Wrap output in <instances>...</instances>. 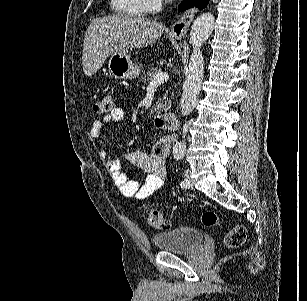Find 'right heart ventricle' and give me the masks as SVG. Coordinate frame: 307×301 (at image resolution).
Wrapping results in <instances>:
<instances>
[{"label": "right heart ventricle", "instance_id": "obj_1", "mask_svg": "<svg viewBox=\"0 0 307 301\" xmlns=\"http://www.w3.org/2000/svg\"><path fill=\"white\" fill-rule=\"evenodd\" d=\"M145 0H111L113 12L121 13V17H138L140 8H148Z\"/></svg>", "mask_w": 307, "mask_h": 301}]
</instances>
